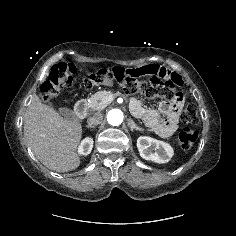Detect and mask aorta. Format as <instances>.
I'll return each instance as SVG.
<instances>
[{
	"label": "aorta",
	"instance_id": "obj_1",
	"mask_svg": "<svg viewBox=\"0 0 236 236\" xmlns=\"http://www.w3.org/2000/svg\"><path fill=\"white\" fill-rule=\"evenodd\" d=\"M123 112L120 109H112L107 114V121L112 126H118L123 122Z\"/></svg>",
	"mask_w": 236,
	"mask_h": 236
}]
</instances>
